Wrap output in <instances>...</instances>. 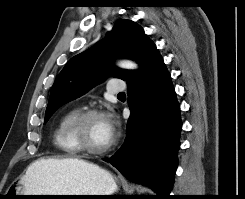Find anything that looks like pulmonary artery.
I'll use <instances>...</instances> for the list:
<instances>
[{"instance_id":"pulmonary-artery-1","label":"pulmonary artery","mask_w":245,"mask_h":199,"mask_svg":"<svg viewBox=\"0 0 245 199\" xmlns=\"http://www.w3.org/2000/svg\"><path fill=\"white\" fill-rule=\"evenodd\" d=\"M126 86L123 81L120 80H111L108 83L107 91L109 94H118L122 93L125 90Z\"/></svg>"}]
</instances>
